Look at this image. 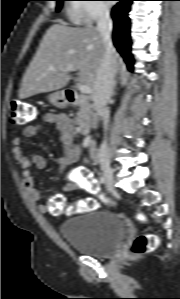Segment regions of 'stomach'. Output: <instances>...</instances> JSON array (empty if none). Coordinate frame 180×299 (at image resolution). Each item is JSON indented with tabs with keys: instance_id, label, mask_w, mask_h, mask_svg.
Here are the masks:
<instances>
[{
	"instance_id": "obj_1",
	"label": "stomach",
	"mask_w": 180,
	"mask_h": 299,
	"mask_svg": "<svg viewBox=\"0 0 180 299\" xmlns=\"http://www.w3.org/2000/svg\"><path fill=\"white\" fill-rule=\"evenodd\" d=\"M49 102L59 108H63L68 105V100L64 91H55L48 96Z\"/></svg>"
}]
</instances>
